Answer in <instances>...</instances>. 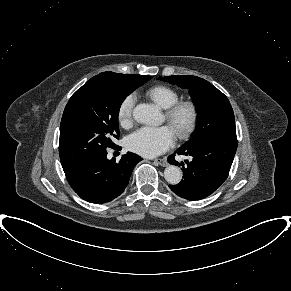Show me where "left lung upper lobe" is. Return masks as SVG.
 <instances>
[{"mask_svg": "<svg viewBox=\"0 0 291 291\" xmlns=\"http://www.w3.org/2000/svg\"><path fill=\"white\" fill-rule=\"evenodd\" d=\"M158 79L188 88L198 111V123L185 145H196L217 136L236 137L235 118L227 97L208 81L196 76H167Z\"/></svg>", "mask_w": 291, "mask_h": 291, "instance_id": "left-lung-upper-lobe-1", "label": "left lung upper lobe"}]
</instances>
